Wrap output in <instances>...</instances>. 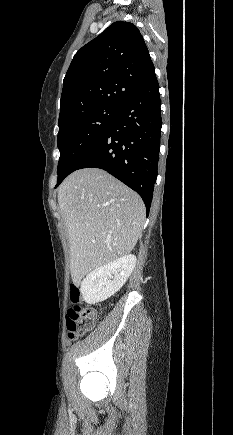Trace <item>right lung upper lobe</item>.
Returning <instances> with one entry per match:
<instances>
[{"label": "right lung upper lobe", "instance_id": "right-lung-upper-lobe-1", "mask_svg": "<svg viewBox=\"0 0 233 435\" xmlns=\"http://www.w3.org/2000/svg\"><path fill=\"white\" fill-rule=\"evenodd\" d=\"M154 76L139 29L114 22L75 54L63 80L59 123L96 107H121Z\"/></svg>", "mask_w": 233, "mask_h": 435}]
</instances>
